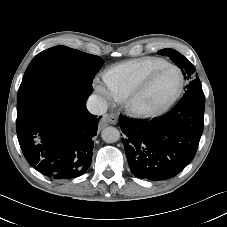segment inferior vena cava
Masks as SVG:
<instances>
[{
    "label": "inferior vena cava",
    "instance_id": "602c4592",
    "mask_svg": "<svg viewBox=\"0 0 227 227\" xmlns=\"http://www.w3.org/2000/svg\"><path fill=\"white\" fill-rule=\"evenodd\" d=\"M86 106L88 111L94 115H103L108 109L106 101L95 94L88 98Z\"/></svg>",
    "mask_w": 227,
    "mask_h": 227
}]
</instances>
